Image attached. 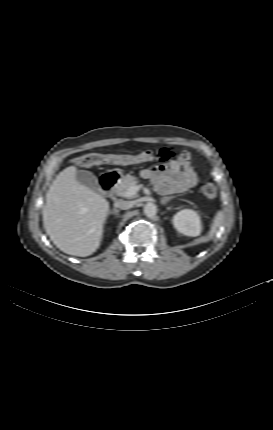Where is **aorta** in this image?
<instances>
[{"instance_id":"762f6f07","label":"aorta","mask_w":273,"mask_h":430,"mask_svg":"<svg viewBox=\"0 0 273 430\" xmlns=\"http://www.w3.org/2000/svg\"><path fill=\"white\" fill-rule=\"evenodd\" d=\"M144 214L150 218L155 216L157 214V206L152 202L146 203L144 206Z\"/></svg>"}]
</instances>
